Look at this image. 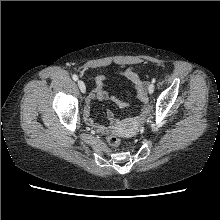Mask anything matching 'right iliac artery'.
Listing matches in <instances>:
<instances>
[{"instance_id":"1","label":"right iliac artery","mask_w":220,"mask_h":220,"mask_svg":"<svg viewBox=\"0 0 220 220\" xmlns=\"http://www.w3.org/2000/svg\"><path fill=\"white\" fill-rule=\"evenodd\" d=\"M72 78H73L74 81H77V80H78V76H77L76 74H74V75L72 76Z\"/></svg>"}]
</instances>
